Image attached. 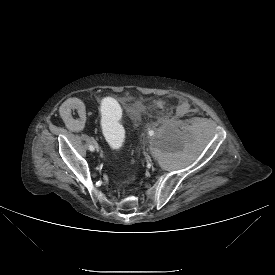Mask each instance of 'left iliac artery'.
I'll use <instances>...</instances> for the list:
<instances>
[{
    "instance_id": "obj_1",
    "label": "left iliac artery",
    "mask_w": 275,
    "mask_h": 275,
    "mask_svg": "<svg viewBox=\"0 0 275 275\" xmlns=\"http://www.w3.org/2000/svg\"><path fill=\"white\" fill-rule=\"evenodd\" d=\"M149 135H150V136L154 135V131H153V130H150V131H149Z\"/></svg>"
}]
</instances>
